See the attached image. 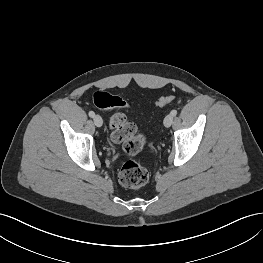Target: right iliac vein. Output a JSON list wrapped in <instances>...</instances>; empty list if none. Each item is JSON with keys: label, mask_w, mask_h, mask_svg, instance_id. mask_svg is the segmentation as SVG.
Segmentation results:
<instances>
[{"label": "right iliac vein", "mask_w": 263, "mask_h": 263, "mask_svg": "<svg viewBox=\"0 0 263 263\" xmlns=\"http://www.w3.org/2000/svg\"><path fill=\"white\" fill-rule=\"evenodd\" d=\"M93 121H94V124H95L97 127H101L102 124H103V120H102L101 116H99V115H95V116L93 117Z\"/></svg>", "instance_id": "1"}]
</instances>
